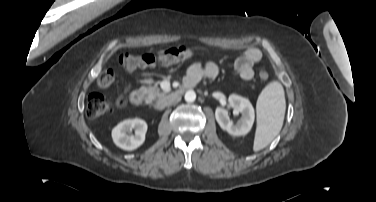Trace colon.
<instances>
[{"label": "colon", "instance_id": "obj_1", "mask_svg": "<svg viewBox=\"0 0 376 202\" xmlns=\"http://www.w3.org/2000/svg\"><path fill=\"white\" fill-rule=\"evenodd\" d=\"M195 56L194 49L189 45H179L162 50L156 54L132 55L123 54L119 58L120 66L126 71H134L138 68L154 67L156 65H171L179 61L190 59ZM258 77L265 82L269 79L267 68L260 67ZM114 75L111 70L103 71L98 79L99 88L106 89L112 85ZM126 103L124 94H120L115 102H109L103 95L92 93L87 99L86 114L89 118L99 117L109 112L113 107H121Z\"/></svg>", "mask_w": 376, "mask_h": 202}]
</instances>
